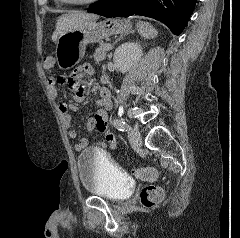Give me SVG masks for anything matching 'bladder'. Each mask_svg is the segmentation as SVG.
<instances>
[{"label":"bladder","instance_id":"obj_1","mask_svg":"<svg viewBox=\"0 0 240 238\" xmlns=\"http://www.w3.org/2000/svg\"><path fill=\"white\" fill-rule=\"evenodd\" d=\"M81 186L89 194L118 202L128 198L132 179L102 150L88 147L77 158Z\"/></svg>","mask_w":240,"mask_h":238}]
</instances>
